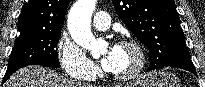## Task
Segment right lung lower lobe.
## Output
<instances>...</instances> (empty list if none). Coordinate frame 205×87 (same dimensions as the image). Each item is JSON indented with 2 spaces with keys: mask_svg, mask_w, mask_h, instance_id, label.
Returning <instances> with one entry per match:
<instances>
[{
  "mask_svg": "<svg viewBox=\"0 0 205 87\" xmlns=\"http://www.w3.org/2000/svg\"><path fill=\"white\" fill-rule=\"evenodd\" d=\"M28 65H33L31 63H23V62H18V63H14L11 65H8L7 71L5 73V76L3 78L2 84L9 78L10 75H12L16 70H18L19 68H22L24 66H28Z\"/></svg>",
  "mask_w": 205,
  "mask_h": 87,
  "instance_id": "right-lung-lower-lobe-1",
  "label": "right lung lower lobe"
}]
</instances>
